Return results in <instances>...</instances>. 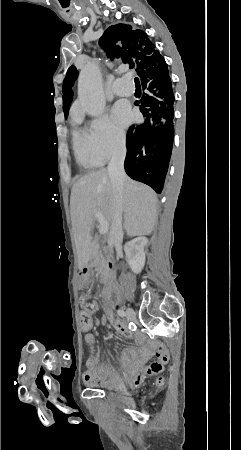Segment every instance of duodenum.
Listing matches in <instances>:
<instances>
[{
    "mask_svg": "<svg viewBox=\"0 0 241 450\" xmlns=\"http://www.w3.org/2000/svg\"><path fill=\"white\" fill-rule=\"evenodd\" d=\"M107 267L111 272L114 268L112 260H108ZM91 271L89 268H83L80 272V279L83 284H86L90 278ZM105 296L110 302H116L119 298L118 284L112 275L109 276L105 286Z\"/></svg>",
    "mask_w": 241,
    "mask_h": 450,
    "instance_id": "obj_1",
    "label": "duodenum"
}]
</instances>
